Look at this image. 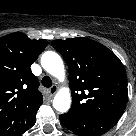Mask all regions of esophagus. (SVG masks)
Returning a JSON list of instances; mask_svg holds the SVG:
<instances>
[{"mask_svg": "<svg viewBox=\"0 0 136 136\" xmlns=\"http://www.w3.org/2000/svg\"><path fill=\"white\" fill-rule=\"evenodd\" d=\"M58 90V86L57 85H53L50 89H49V95L50 96H54L55 93L57 92Z\"/></svg>", "mask_w": 136, "mask_h": 136, "instance_id": "34e87169", "label": "esophagus"}]
</instances>
